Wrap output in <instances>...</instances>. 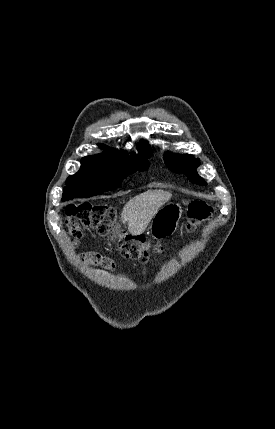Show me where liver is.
<instances>
[{
    "mask_svg": "<svg viewBox=\"0 0 275 429\" xmlns=\"http://www.w3.org/2000/svg\"><path fill=\"white\" fill-rule=\"evenodd\" d=\"M172 197L163 190H149L130 199L123 207L121 221L128 222V230L137 236L142 234L159 208Z\"/></svg>",
    "mask_w": 275,
    "mask_h": 429,
    "instance_id": "6515ba94",
    "label": "liver"
}]
</instances>
